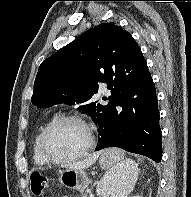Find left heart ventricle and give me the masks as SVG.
<instances>
[{
    "label": "left heart ventricle",
    "instance_id": "obj_1",
    "mask_svg": "<svg viewBox=\"0 0 191 197\" xmlns=\"http://www.w3.org/2000/svg\"><path fill=\"white\" fill-rule=\"evenodd\" d=\"M87 129L76 121H66L55 126L46 138V146L57 157H70L80 153L88 144Z\"/></svg>",
    "mask_w": 191,
    "mask_h": 197
}]
</instances>
